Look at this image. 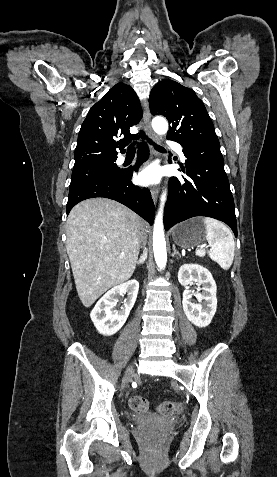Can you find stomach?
Segmentation results:
<instances>
[{
	"label": "stomach",
	"mask_w": 277,
	"mask_h": 477,
	"mask_svg": "<svg viewBox=\"0 0 277 477\" xmlns=\"http://www.w3.org/2000/svg\"><path fill=\"white\" fill-rule=\"evenodd\" d=\"M206 238V225L203 218H191L172 230L174 243L183 248L200 245Z\"/></svg>",
	"instance_id": "0dacf381"
}]
</instances>
